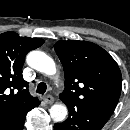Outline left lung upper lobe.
I'll list each match as a JSON object with an SVG mask.
<instances>
[{"mask_svg": "<svg viewBox=\"0 0 130 130\" xmlns=\"http://www.w3.org/2000/svg\"><path fill=\"white\" fill-rule=\"evenodd\" d=\"M54 49L65 74L60 99L95 106L112 115L120 97L122 76L111 55L87 41L61 40Z\"/></svg>", "mask_w": 130, "mask_h": 130, "instance_id": "left-lung-upper-lobe-1", "label": "left lung upper lobe"}]
</instances>
